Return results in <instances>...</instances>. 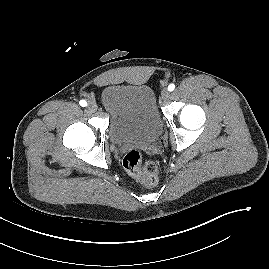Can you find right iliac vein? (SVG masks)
<instances>
[{"label": "right iliac vein", "instance_id": "63e3f726", "mask_svg": "<svg viewBox=\"0 0 269 269\" xmlns=\"http://www.w3.org/2000/svg\"><path fill=\"white\" fill-rule=\"evenodd\" d=\"M88 110L91 112H95L97 110V105L95 102H89L87 106Z\"/></svg>", "mask_w": 269, "mask_h": 269}]
</instances>
